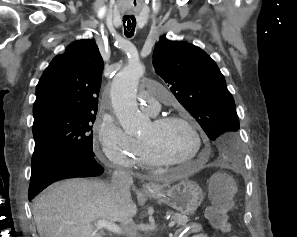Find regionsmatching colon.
Masks as SVG:
<instances>
[{
    "instance_id": "colon-1",
    "label": "colon",
    "mask_w": 297,
    "mask_h": 237,
    "mask_svg": "<svg viewBox=\"0 0 297 237\" xmlns=\"http://www.w3.org/2000/svg\"><path fill=\"white\" fill-rule=\"evenodd\" d=\"M210 191L212 205L207 210V218L213 228L228 233L231 231V226L227 219V212L233 204L235 185L227 174L220 173L211 180Z\"/></svg>"
}]
</instances>
